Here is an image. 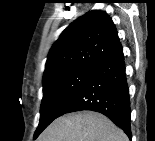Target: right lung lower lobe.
<instances>
[{"label":"right lung lower lobe","instance_id":"obj_1","mask_svg":"<svg viewBox=\"0 0 155 141\" xmlns=\"http://www.w3.org/2000/svg\"><path fill=\"white\" fill-rule=\"evenodd\" d=\"M82 110L104 114L131 139L129 89L120 42L95 67L86 82L62 108L59 116Z\"/></svg>","mask_w":155,"mask_h":141}]
</instances>
